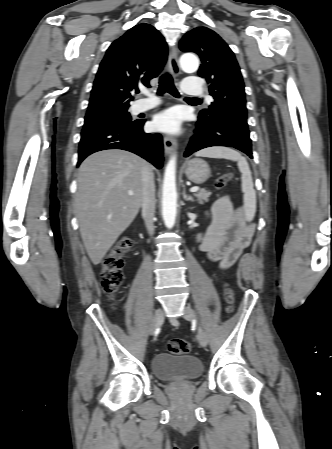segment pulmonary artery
<instances>
[{
  "mask_svg": "<svg viewBox=\"0 0 332 449\" xmlns=\"http://www.w3.org/2000/svg\"><path fill=\"white\" fill-rule=\"evenodd\" d=\"M181 90L190 95H202V91L197 87L195 79H186L181 84ZM206 99L211 101V97L207 96ZM160 100L156 97L140 100L135 105V111L142 112L157 106Z\"/></svg>",
  "mask_w": 332,
  "mask_h": 449,
  "instance_id": "1",
  "label": "pulmonary artery"
}]
</instances>
